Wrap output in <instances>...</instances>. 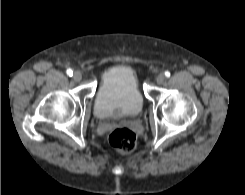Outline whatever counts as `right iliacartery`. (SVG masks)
Instances as JSON below:
<instances>
[{
    "label": "right iliac artery",
    "mask_w": 245,
    "mask_h": 195,
    "mask_svg": "<svg viewBox=\"0 0 245 195\" xmlns=\"http://www.w3.org/2000/svg\"><path fill=\"white\" fill-rule=\"evenodd\" d=\"M66 73H67V75H69V76H72V75H73L72 69H67Z\"/></svg>",
    "instance_id": "1"
}]
</instances>
